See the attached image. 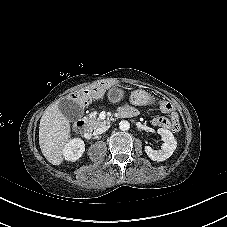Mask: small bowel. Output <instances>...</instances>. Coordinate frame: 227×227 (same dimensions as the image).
Instances as JSON below:
<instances>
[{
	"label": "small bowel",
	"mask_w": 227,
	"mask_h": 227,
	"mask_svg": "<svg viewBox=\"0 0 227 227\" xmlns=\"http://www.w3.org/2000/svg\"><path fill=\"white\" fill-rule=\"evenodd\" d=\"M160 108L164 113L170 114L171 121L165 117H155L152 119V124L159 128L171 129L176 131V129L179 128V118L173 106L169 102H163ZM120 111H123L125 114L130 113L132 115L136 113L134 108L128 106H123Z\"/></svg>",
	"instance_id": "1"
}]
</instances>
